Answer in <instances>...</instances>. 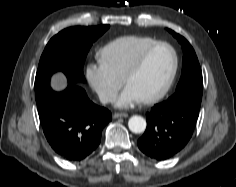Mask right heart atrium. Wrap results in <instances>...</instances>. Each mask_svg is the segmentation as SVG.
Returning <instances> with one entry per match:
<instances>
[{"label":"right heart atrium","instance_id":"obj_1","mask_svg":"<svg viewBox=\"0 0 236 187\" xmlns=\"http://www.w3.org/2000/svg\"><path fill=\"white\" fill-rule=\"evenodd\" d=\"M85 76L92 90L105 104L115 100L123 83L122 79L116 77L100 63H89L85 69Z\"/></svg>","mask_w":236,"mask_h":187}]
</instances>
